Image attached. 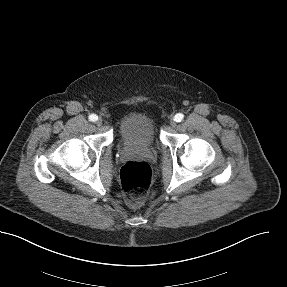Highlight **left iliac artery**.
<instances>
[{"label":"left iliac artery","instance_id":"44dca946","mask_svg":"<svg viewBox=\"0 0 287 287\" xmlns=\"http://www.w3.org/2000/svg\"><path fill=\"white\" fill-rule=\"evenodd\" d=\"M183 118H184V115L182 113H178L175 115L174 120L176 122H181L183 120Z\"/></svg>","mask_w":287,"mask_h":287}]
</instances>
